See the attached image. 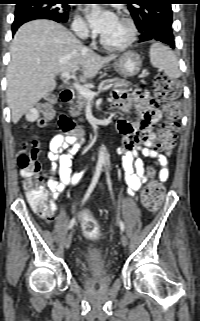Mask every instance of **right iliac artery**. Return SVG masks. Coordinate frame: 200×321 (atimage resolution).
Listing matches in <instances>:
<instances>
[{
    "mask_svg": "<svg viewBox=\"0 0 200 321\" xmlns=\"http://www.w3.org/2000/svg\"><path fill=\"white\" fill-rule=\"evenodd\" d=\"M101 171H102V164L101 163H98L96 165V170H95V173H94V176H93V179H92V182L83 198V201H82V204L89 198L90 194L92 193V191L94 190L98 180H99V177L101 175ZM74 223H75V218H73L69 225H68V229H71L73 226H74Z\"/></svg>",
    "mask_w": 200,
    "mask_h": 321,
    "instance_id": "82829eb1",
    "label": "right iliac artery"
}]
</instances>
